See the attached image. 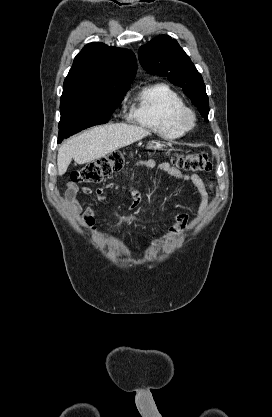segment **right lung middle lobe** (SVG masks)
Masks as SVG:
<instances>
[{"label":"right lung middle lobe","mask_w":272,"mask_h":417,"mask_svg":"<svg viewBox=\"0 0 272 417\" xmlns=\"http://www.w3.org/2000/svg\"><path fill=\"white\" fill-rule=\"evenodd\" d=\"M127 91L128 89H119L61 100L58 142L93 125L108 122Z\"/></svg>","instance_id":"right-lung-middle-lobe-1"}]
</instances>
